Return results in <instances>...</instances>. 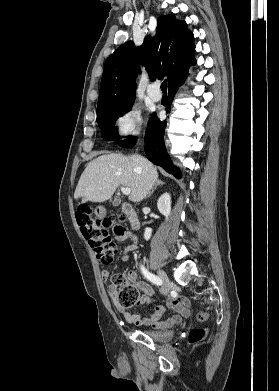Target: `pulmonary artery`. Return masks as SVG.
Listing matches in <instances>:
<instances>
[{
	"instance_id": "pulmonary-artery-1",
	"label": "pulmonary artery",
	"mask_w": 279,
	"mask_h": 391,
	"mask_svg": "<svg viewBox=\"0 0 279 391\" xmlns=\"http://www.w3.org/2000/svg\"><path fill=\"white\" fill-rule=\"evenodd\" d=\"M147 93H148V96H149L153 101H156V102H157V101H160L161 98H162V94H161V92L158 90L156 84H151V85L148 87Z\"/></svg>"
}]
</instances>
